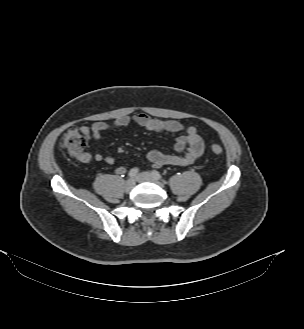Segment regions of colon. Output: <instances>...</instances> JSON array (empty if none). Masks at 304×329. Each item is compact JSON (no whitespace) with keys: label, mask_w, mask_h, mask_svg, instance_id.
<instances>
[{"label":"colon","mask_w":304,"mask_h":329,"mask_svg":"<svg viewBox=\"0 0 304 329\" xmlns=\"http://www.w3.org/2000/svg\"><path fill=\"white\" fill-rule=\"evenodd\" d=\"M86 146V139L80 127L74 125L69 127L61 137L60 147L64 154L79 158L84 152ZM210 149L215 155H221L223 148L217 143H211Z\"/></svg>","instance_id":"5ec220e1"}]
</instances>
